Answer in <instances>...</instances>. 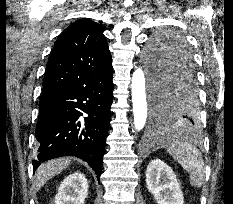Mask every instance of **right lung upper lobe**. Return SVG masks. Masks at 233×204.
<instances>
[{"label":"right lung upper lobe","instance_id":"cb5924a9","mask_svg":"<svg viewBox=\"0 0 233 204\" xmlns=\"http://www.w3.org/2000/svg\"><path fill=\"white\" fill-rule=\"evenodd\" d=\"M111 65L101 26L90 19L78 20L54 44L45 69L42 96L69 87L86 74L104 71Z\"/></svg>","mask_w":233,"mask_h":204}]
</instances>
